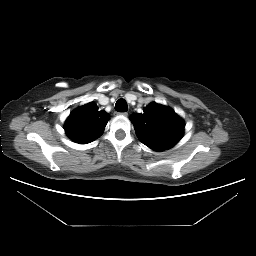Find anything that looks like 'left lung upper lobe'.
<instances>
[{
    "label": "left lung upper lobe",
    "mask_w": 256,
    "mask_h": 256,
    "mask_svg": "<svg viewBox=\"0 0 256 256\" xmlns=\"http://www.w3.org/2000/svg\"><path fill=\"white\" fill-rule=\"evenodd\" d=\"M139 140L155 151L173 147L180 141L184 132V122L170 108L155 102L146 106L143 113L131 114Z\"/></svg>",
    "instance_id": "5c2ea615"
}]
</instances>
